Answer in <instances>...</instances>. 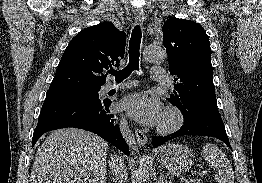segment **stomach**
Masks as SVG:
<instances>
[{"label":"stomach","instance_id":"stomach-1","mask_svg":"<svg viewBox=\"0 0 262 183\" xmlns=\"http://www.w3.org/2000/svg\"><path fill=\"white\" fill-rule=\"evenodd\" d=\"M156 157L171 172H187L194 164L192 151L182 144H165L157 150Z\"/></svg>","mask_w":262,"mask_h":183}]
</instances>
